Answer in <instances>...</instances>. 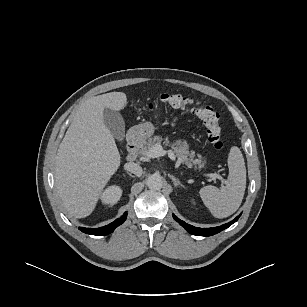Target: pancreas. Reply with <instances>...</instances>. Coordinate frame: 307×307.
I'll return each mask as SVG.
<instances>
[{"label":"pancreas","mask_w":307,"mask_h":307,"mask_svg":"<svg viewBox=\"0 0 307 307\" xmlns=\"http://www.w3.org/2000/svg\"><path fill=\"white\" fill-rule=\"evenodd\" d=\"M162 137L160 136H154L152 138H149L147 141H145L139 149V156L140 160L147 161L149 158L147 157V152L156 144H161ZM164 144L166 146L171 145V149L175 156L178 158L179 162L186 164L188 167L192 165H197L198 168H202L204 165V162L201 160V157L199 159H194V152H189V145L186 141L177 140L173 142L172 144H169L168 138L165 139Z\"/></svg>","instance_id":"obj_1"}]
</instances>
